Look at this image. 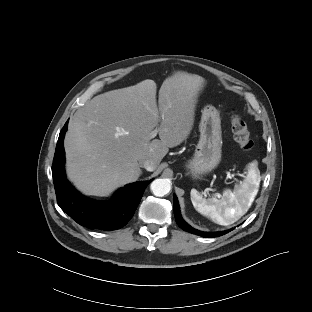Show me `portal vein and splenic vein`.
Instances as JSON below:
<instances>
[{
	"mask_svg": "<svg viewBox=\"0 0 312 312\" xmlns=\"http://www.w3.org/2000/svg\"><path fill=\"white\" fill-rule=\"evenodd\" d=\"M157 133H158V130H157V129L153 130V131L149 134V139H153L154 137H156Z\"/></svg>",
	"mask_w": 312,
	"mask_h": 312,
	"instance_id": "portal-vein-and-splenic-vein-1",
	"label": "portal vein and splenic vein"
}]
</instances>
